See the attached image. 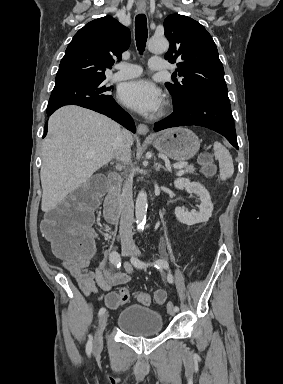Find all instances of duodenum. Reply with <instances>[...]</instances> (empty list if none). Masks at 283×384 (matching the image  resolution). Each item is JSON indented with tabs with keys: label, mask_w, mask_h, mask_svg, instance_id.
<instances>
[{
	"label": "duodenum",
	"mask_w": 283,
	"mask_h": 384,
	"mask_svg": "<svg viewBox=\"0 0 283 384\" xmlns=\"http://www.w3.org/2000/svg\"><path fill=\"white\" fill-rule=\"evenodd\" d=\"M121 176L117 172H111L108 176V191L104 202V218L110 224L119 221V188Z\"/></svg>",
	"instance_id": "1"
}]
</instances>
